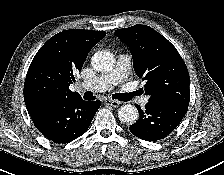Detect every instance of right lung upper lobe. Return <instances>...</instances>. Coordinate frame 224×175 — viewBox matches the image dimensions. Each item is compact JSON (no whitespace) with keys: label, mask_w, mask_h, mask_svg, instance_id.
Listing matches in <instances>:
<instances>
[{"label":"right lung upper lobe","mask_w":224,"mask_h":175,"mask_svg":"<svg viewBox=\"0 0 224 175\" xmlns=\"http://www.w3.org/2000/svg\"><path fill=\"white\" fill-rule=\"evenodd\" d=\"M105 35V32L81 29L66 30L50 38L29 66L23 93L26 107L80 97L69 86L91 48Z\"/></svg>","instance_id":"cb5924a9"}]
</instances>
